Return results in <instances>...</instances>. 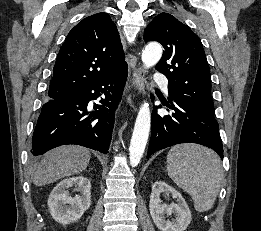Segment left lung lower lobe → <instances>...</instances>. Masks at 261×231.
Returning <instances> with one entry per match:
<instances>
[{
	"mask_svg": "<svg viewBox=\"0 0 261 231\" xmlns=\"http://www.w3.org/2000/svg\"><path fill=\"white\" fill-rule=\"evenodd\" d=\"M170 103L163 104L174 110L171 115H159L157 108L161 106H156L152 113L147 158L154 152L172 145L197 143L213 149L222 159V141L214 115L182 101L171 99Z\"/></svg>",
	"mask_w": 261,
	"mask_h": 231,
	"instance_id": "0a47b994",
	"label": "left lung lower lobe"
}]
</instances>
